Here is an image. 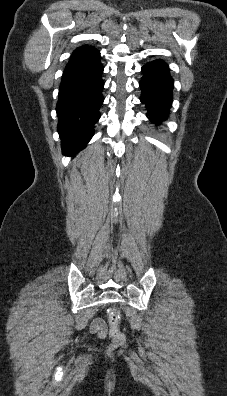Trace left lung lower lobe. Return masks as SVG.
<instances>
[{
	"mask_svg": "<svg viewBox=\"0 0 227 396\" xmlns=\"http://www.w3.org/2000/svg\"><path fill=\"white\" fill-rule=\"evenodd\" d=\"M142 73L140 100L146 105L149 119L160 124L166 120L172 104L173 79L169 67L162 60H154L142 67Z\"/></svg>",
	"mask_w": 227,
	"mask_h": 396,
	"instance_id": "left-lung-lower-lobe-1",
	"label": "left lung lower lobe"
}]
</instances>
